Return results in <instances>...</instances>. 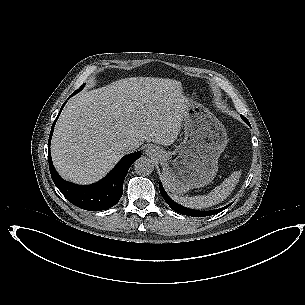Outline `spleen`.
Here are the masks:
<instances>
[{
  "instance_id": "obj_1",
  "label": "spleen",
  "mask_w": 305,
  "mask_h": 305,
  "mask_svg": "<svg viewBox=\"0 0 305 305\" xmlns=\"http://www.w3.org/2000/svg\"><path fill=\"white\" fill-rule=\"evenodd\" d=\"M238 173L234 172L229 178H226L219 186L215 187L207 195H198L193 197H182L176 194H171V198L180 205L191 209H204L219 204L225 200L231 193L234 184L236 183Z\"/></svg>"
}]
</instances>
